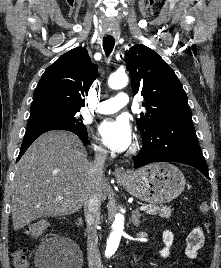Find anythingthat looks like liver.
Here are the masks:
<instances>
[{
	"label": "liver",
	"instance_id": "6515ba94",
	"mask_svg": "<svg viewBox=\"0 0 221 268\" xmlns=\"http://www.w3.org/2000/svg\"><path fill=\"white\" fill-rule=\"evenodd\" d=\"M91 165L74 134L49 131L37 138L15 166L13 228L20 230L42 217L65 216L79 211L90 185ZM109 191L110 186L104 178L102 201Z\"/></svg>",
	"mask_w": 221,
	"mask_h": 268
}]
</instances>
